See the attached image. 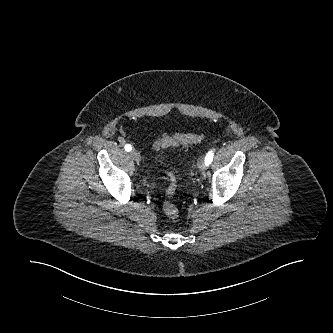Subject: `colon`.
Here are the masks:
<instances>
[{
    "mask_svg": "<svg viewBox=\"0 0 333 333\" xmlns=\"http://www.w3.org/2000/svg\"><path fill=\"white\" fill-rule=\"evenodd\" d=\"M204 139L202 135H194V134H183L177 133L172 136H165L156 141L154 147L156 150L161 148H166L170 146H187L201 142ZM168 180V186L165 191L166 199L163 202V211L170 218H177L179 215V210L176 205H174L171 201L172 196L176 190V178L173 173L169 172L166 175Z\"/></svg>",
    "mask_w": 333,
    "mask_h": 333,
    "instance_id": "colon-1",
    "label": "colon"
}]
</instances>
